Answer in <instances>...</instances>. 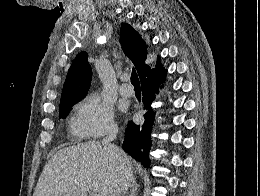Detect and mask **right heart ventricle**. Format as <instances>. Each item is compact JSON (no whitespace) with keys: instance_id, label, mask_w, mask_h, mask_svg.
<instances>
[{"instance_id":"1","label":"right heart ventricle","mask_w":260,"mask_h":196,"mask_svg":"<svg viewBox=\"0 0 260 196\" xmlns=\"http://www.w3.org/2000/svg\"><path fill=\"white\" fill-rule=\"evenodd\" d=\"M66 192H84V190H66Z\"/></svg>"}]
</instances>
